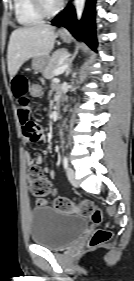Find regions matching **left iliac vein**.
<instances>
[{
  "label": "left iliac vein",
  "instance_id": "4c4485c4",
  "mask_svg": "<svg viewBox=\"0 0 134 281\" xmlns=\"http://www.w3.org/2000/svg\"><path fill=\"white\" fill-rule=\"evenodd\" d=\"M67 177L70 183L74 186L78 185V181L76 179V173L72 168H67Z\"/></svg>",
  "mask_w": 134,
  "mask_h": 281
}]
</instances>
